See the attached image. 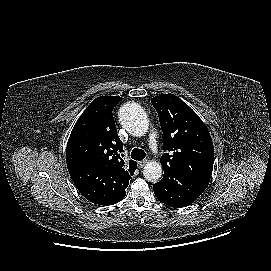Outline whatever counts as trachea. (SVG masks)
I'll return each mask as SVG.
<instances>
[{
    "label": "trachea",
    "mask_w": 271,
    "mask_h": 271,
    "mask_svg": "<svg viewBox=\"0 0 271 271\" xmlns=\"http://www.w3.org/2000/svg\"><path fill=\"white\" fill-rule=\"evenodd\" d=\"M146 153L142 149L134 148L131 152V158L137 161H141L145 158Z\"/></svg>",
    "instance_id": "1"
}]
</instances>
